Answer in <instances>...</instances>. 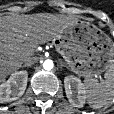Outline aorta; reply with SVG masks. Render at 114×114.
<instances>
[{
    "label": "aorta",
    "instance_id": "1",
    "mask_svg": "<svg viewBox=\"0 0 114 114\" xmlns=\"http://www.w3.org/2000/svg\"><path fill=\"white\" fill-rule=\"evenodd\" d=\"M53 67H54V64H53V61L52 60H45L44 62H43V68L45 69V70H52L53 69Z\"/></svg>",
    "mask_w": 114,
    "mask_h": 114
}]
</instances>
